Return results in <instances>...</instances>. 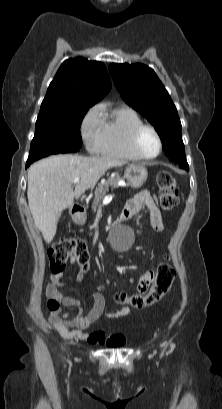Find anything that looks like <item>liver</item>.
Returning <instances> with one entry per match:
<instances>
[{
	"label": "liver",
	"instance_id": "obj_1",
	"mask_svg": "<svg viewBox=\"0 0 222 409\" xmlns=\"http://www.w3.org/2000/svg\"><path fill=\"white\" fill-rule=\"evenodd\" d=\"M124 164L112 157L53 155L29 168V209L46 243L53 240L60 215L73 205L74 198L93 188L107 170ZM77 177L80 180L73 191V180Z\"/></svg>",
	"mask_w": 222,
	"mask_h": 409
}]
</instances>
